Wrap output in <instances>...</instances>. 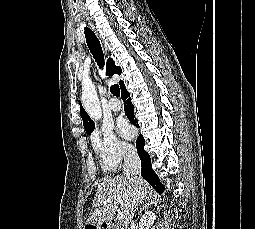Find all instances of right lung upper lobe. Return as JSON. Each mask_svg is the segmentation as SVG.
Instances as JSON below:
<instances>
[{
    "mask_svg": "<svg viewBox=\"0 0 255 229\" xmlns=\"http://www.w3.org/2000/svg\"><path fill=\"white\" fill-rule=\"evenodd\" d=\"M120 73H121V68L115 66L113 60L109 59L107 61V74L109 76H111L113 74H120ZM119 85H120L121 88H123L124 87V82L123 81H119ZM79 103H80V107H81V109H80V116L82 117V120H83V126H84L86 132L88 134H90L93 131V129L95 128V124L89 118L88 114L86 113V111L82 107L81 102H79Z\"/></svg>",
    "mask_w": 255,
    "mask_h": 229,
    "instance_id": "obj_1",
    "label": "right lung upper lobe"
}]
</instances>
